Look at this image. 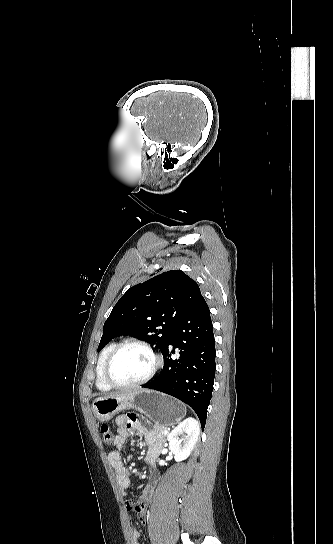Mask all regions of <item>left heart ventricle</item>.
Returning a JSON list of instances; mask_svg holds the SVG:
<instances>
[{"label":"left heart ventricle","mask_w":333,"mask_h":544,"mask_svg":"<svg viewBox=\"0 0 333 544\" xmlns=\"http://www.w3.org/2000/svg\"><path fill=\"white\" fill-rule=\"evenodd\" d=\"M152 358L147 351L136 346L122 349L111 366V377L119 383L137 381L148 374Z\"/></svg>","instance_id":"b2bd125f"}]
</instances>
